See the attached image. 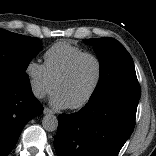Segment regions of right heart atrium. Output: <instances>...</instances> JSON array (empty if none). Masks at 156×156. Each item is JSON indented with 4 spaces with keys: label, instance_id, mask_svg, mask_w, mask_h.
<instances>
[{
    "label": "right heart atrium",
    "instance_id": "1",
    "mask_svg": "<svg viewBox=\"0 0 156 156\" xmlns=\"http://www.w3.org/2000/svg\"><path fill=\"white\" fill-rule=\"evenodd\" d=\"M25 75L31 92L38 99L44 98L54 89L55 83L50 78L43 63L36 60H30L26 64Z\"/></svg>",
    "mask_w": 156,
    "mask_h": 156
}]
</instances>
